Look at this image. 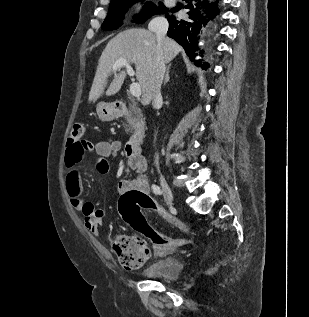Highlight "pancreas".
Instances as JSON below:
<instances>
[{"label": "pancreas", "instance_id": "obj_1", "mask_svg": "<svg viewBox=\"0 0 309 317\" xmlns=\"http://www.w3.org/2000/svg\"><path fill=\"white\" fill-rule=\"evenodd\" d=\"M130 110L132 111L133 115H136V117L133 116L132 119L127 118V121L129 123V126H127V128H126L127 133L130 132V126H134L135 122L140 126L145 125L144 119L142 118L141 110L139 108L135 107L134 105L130 106Z\"/></svg>", "mask_w": 309, "mask_h": 317}]
</instances>
